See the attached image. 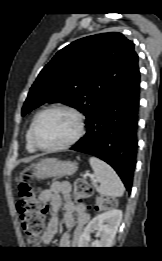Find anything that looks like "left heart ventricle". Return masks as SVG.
Instances as JSON below:
<instances>
[{"mask_svg":"<svg viewBox=\"0 0 162 261\" xmlns=\"http://www.w3.org/2000/svg\"><path fill=\"white\" fill-rule=\"evenodd\" d=\"M76 120L65 111H51L44 114L36 129V138L42 146H56L66 142L76 132Z\"/></svg>","mask_w":162,"mask_h":261,"instance_id":"1","label":"left heart ventricle"}]
</instances>
